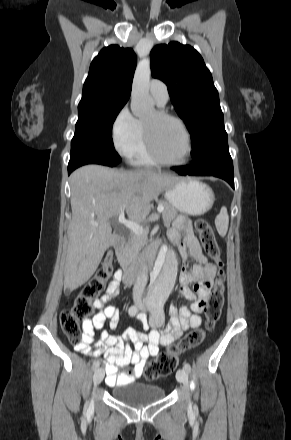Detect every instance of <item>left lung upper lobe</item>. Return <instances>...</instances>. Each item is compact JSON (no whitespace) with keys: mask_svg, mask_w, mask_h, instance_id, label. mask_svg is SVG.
Instances as JSON below:
<instances>
[{"mask_svg":"<svg viewBox=\"0 0 291 440\" xmlns=\"http://www.w3.org/2000/svg\"><path fill=\"white\" fill-rule=\"evenodd\" d=\"M151 69L152 76L168 86L171 102L191 134L194 160L227 141L218 91L193 47L175 41L155 46Z\"/></svg>","mask_w":291,"mask_h":440,"instance_id":"1","label":"left lung upper lobe"}]
</instances>
